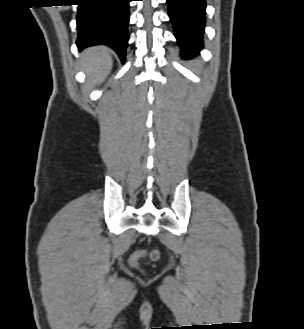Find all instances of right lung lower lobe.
<instances>
[{
    "label": "right lung lower lobe",
    "instance_id": "obj_1",
    "mask_svg": "<svg viewBox=\"0 0 304 329\" xmlns=\"http://www.w3.org/2000/svg\"><path fill=\"white\" fill-rule=\"evenodd\" d=\"M77 47L108 45L122 61L128 44L129 2L131 0H78Z\"/></svg>",
    "mask_w": 304,
    "mask_h": 329
}]
</instances>
